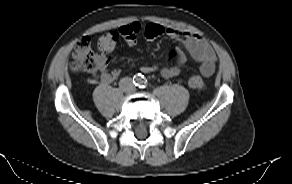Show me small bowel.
Returning <instances> with one entry per match:
<instances>
[{"instance_id": "obj_1", "label": "small bowel", "mask_w": 292, "mask_h": 184, "mask_svg": "<svg viewBox=\"0 0 292 184\" xmlns=\"http://www.w3.org/2000/svg\"><path fill=\"white\" fill-rule=\"evenodd\" d=\"M163 34L172 39L181 40L184 48L191 57L199 64V69L202 75L211 76L215 70L216 55L209 43L198 34L180 31L173 27H164ZM144 31V27L138 21L131 22L119 28L118 33L124 38L129 46H133L137 42V35ZM106 52H99L96 55L95 70L99 74H94L91 82L95 83L98 80L105 84H109L118 79L121 74L119 68L112 70L108 69L109 58ZM185 62V57L179 52V57L176 65L172 67L160 68L157 65H146L140 68L142 73H151L158 71L164 78H171L180 75L182 65Z\"/></svg>"}]
</instances>
